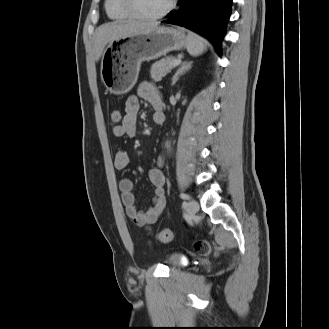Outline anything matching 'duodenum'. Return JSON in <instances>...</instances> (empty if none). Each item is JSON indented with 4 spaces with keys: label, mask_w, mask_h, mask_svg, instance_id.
Listing matches in <instances>:
<instances>
[{
    "label": "duodenum",
    "mask_w": 329,
    "mask_h": 329,
    "mask_svg": "<svg viewBox=\"0 0 329 329\" xmlns=\"http://www.w3.org/2000/svg\"><path fill=\"white\" fill-rule=\"evenodd\" d=\"M164 120H165L164 112L162 110L157 111L154 117V122L156 124H162Z\"/></svg>",
    "instance_id": "1"
}]
</instances>
